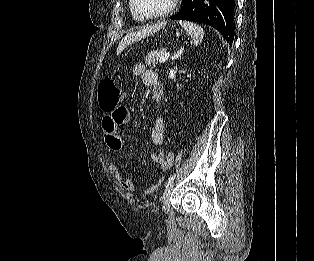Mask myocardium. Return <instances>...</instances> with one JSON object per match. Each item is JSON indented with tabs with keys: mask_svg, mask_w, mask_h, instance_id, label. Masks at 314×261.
I'll return each mask as SVG.
<instances>
[{
	"mask_svg": "<svg viewBox=\"0 0 314 261\" xmlns=\"http://www.w3.org/2000/svg\"><path fill=\"white\" fill-rule=\"evenodd\" d=\"M131 1H132L133 10L141 19H155V18L165 17L174 11V9L176 8L179 2V0H171L166 9L156 12V13H152V14H145L138 8L137 0H131Z\"/></svg>",
	"mask_w": 314,
	"mask_h": 261,
	"instance_id": "f54148a6",
	"label": "myocardium"
}]
</instances>
